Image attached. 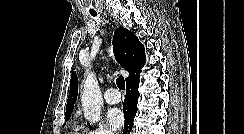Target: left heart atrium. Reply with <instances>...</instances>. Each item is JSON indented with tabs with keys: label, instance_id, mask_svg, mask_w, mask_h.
<instances>
[{
	"label": "left heart atrium",
	"instance_id": "left-heart-atrium-1",
	"mask_svg": "<svg viewBox=\"0 0 244 134\" xmlns=\"http://www.w3.org/2000/svg\"><path fill=\"white\" fill-rule=\"evenodd\" d=\"M107 120L112 129L118 130L124 123V115L119 109L113 108L108 111Z\"/></svg>",
	"mask_w": 244,
	"mask_h": 134
}]
</instances>
